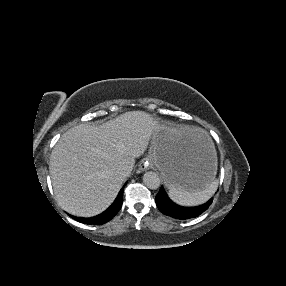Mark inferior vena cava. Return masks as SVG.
Returning a JSON list of instances; mask_svg holds the SVG:
<instances>
[{
    "mask_svg": "<svg viewBox=\"0 0 286 286\" xmlns=\"http://www.w3.org/2000/svg\"><path fill=\"white\" fill-rule=\"evenodd\" d=\"M115 171L121 177H127L130 174V169L126 165H119Z\"/></svg>",
    "mask_w": 286,
    "mask_h": 286,
    "instance_id": "obj_1",
    "label": "inferior vena cava"
}]
</instances>
